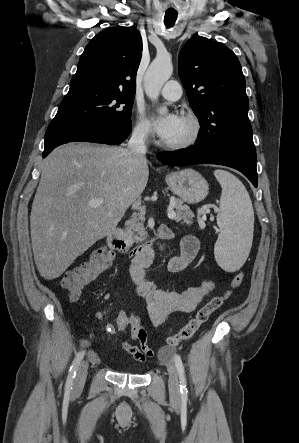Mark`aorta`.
Masks as SVG:
<instances>
[{"label": "aorta", "instance_id": "1", "mask_svg": "<svg viewBox=\"0 0 299 443\" xmlns=\"http://www.w3.org/2000/svg\"><path fill=\"white\" fill-rule=\"evenodd\" d=\"M173 73V65L168 56H157L150 64L144 78V89L146 95L152 100L158 99L163 85L168 81ZM167 107L159 109L160 114H166Z\"/></svg>", "mask_w": 299, "mask_h": 443}]
</instances>
